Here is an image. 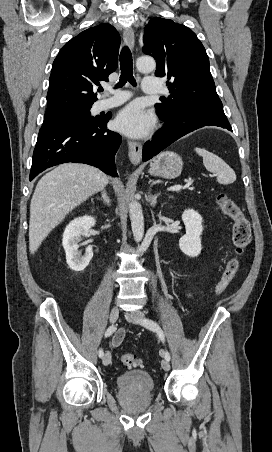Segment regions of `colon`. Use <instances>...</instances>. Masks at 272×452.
<instances>
[{"instance_id": "1", "label": "colon", "mask_w": 272, "mask_h": 452, "mask_svg": "<svg viewBox=\"0 0 272 452\" xmlns=\"http://www.w3.org/2000/svg\"><path fill=\"white\" fill-rule=\"evenodd\" d=\"M216 202L221 212L233 221L232 240L234 244V255L227 262L224 272L214 290L215 295H221L227 290L239 270L240 257L251 241V230L248 219L241 208L231 198L223 193H219L216 196ZM121 362L127 367L141 364L138 356L132 353L123 354L121 356Z\"/></svg>"}]
</instances>
